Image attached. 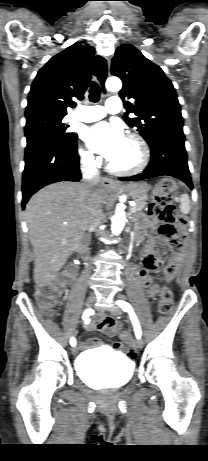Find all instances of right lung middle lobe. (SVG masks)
Segmentation results:
<instances>
[{
	"label": "right lung middle lobe",
	"mask_w": 208,
	"mask_h": 461,
	"mask_svg": "<svg viewBox=\"0 0 208 461\" xmlns=\"http://www.w3.org/2000/svg\"><path fill=\"white\" fill-rule=\"evenodd\" d=\"M63 117L53 115L26 116V148L44 139L74 144L77 141V134L67 131L69 126L63 123Z\"/></svg>",
	"instance_id": "dd1d6c3e"
}]
</instances>
